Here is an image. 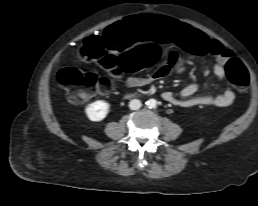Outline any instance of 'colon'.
I'll return each mask as SVG.
<instances>
[{"instance_id": "1", "label": "colon", "mask_w": 258, "mask_h": 206, "mask_svg": "<svg viewBox=\"0 0 258 206\" xmlns=\"http://www.w3.org/2000/svg\"><path fill=\"white\" fill-rule=\"evenodd\" d=\"M160 55L155 45H142L117 56L101 41L87 40L79 51L82 60L95 63L108 72L100 76L94 70L83 71L71 66L61 67L56 74L57 83L66 91L71 103H82L96 93L106 94L117 86L125 73L137 72L154 65ZM229 82L239 91H246L250 77L244 64L231 57L225 64Z\"/></svg>"}]
</instances>
